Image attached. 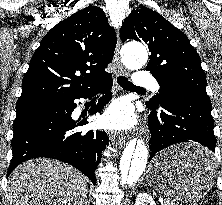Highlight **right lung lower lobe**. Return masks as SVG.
Returning <instances> with one entry per match:
<instances>
[{
  "instance_id": "98d812e1",
  "label": "right lung lower lobe",
  "mask_w": 222,
  "mask_h": 205,
  "mask_svg": "<svg viewBox=\"0 0 222 205\" xmlns=\"http://www.w3.org/2000/svg\"><path fill=\"white\" fill-rule=\"evenodd\" d=\"M112 81L110 75L68 100L44 98L17 103L11 141L13 157L7 176L26 160L48 157L76 167L96 184L95 170L109 138L105 131H76L88 122L86 118L74 121L71 114L77 106L75 99L91 98L97 91L104 95L89 113L102 111L111 99Z\"/></svg>"
}]
</instances>
